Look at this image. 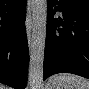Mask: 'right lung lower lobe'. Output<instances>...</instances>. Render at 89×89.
I'll list each match as a JSON object with an SVG mask.
<instances>
[{"mask_svg": "<svg viewBox=\"0 0 89 89\" xmlns=\"http://www.w3.org/2000/svg\"><path fill=\"white\" fill-rule=\"evenodd\" d=\"M25 18V0H0V82L15 89L27 85Z\"/></svg>", "mask_w": 89, "mask_h": 89, "instance_id": "98d812e1", "label": "right lung lower lobe"}]
</instances>
